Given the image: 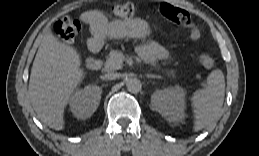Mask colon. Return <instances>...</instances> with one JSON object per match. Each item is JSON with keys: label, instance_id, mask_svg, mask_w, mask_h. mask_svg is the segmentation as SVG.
I'll use <instances>...</instances> for the list:
<instances>
[{"label": "colon", "instance_id": "obj_1", "mask_svg": "<svg viewBox=\"0 0 259 156\" xmlns=\"http://www.w3.org/2000/svg\"><path fill=\"white\" fill-rule=\"evenodd\" d=\"M112 13L118 17L129 19L135 16L139 12V7L133 3H119L112 7ZM161 15L172 23L185 27L189 30V36L191 40H198L200 37V31L194 23L191 15L180 8L174 7L169 4H162L159 6ZM55 31L59 39L65 43L74 41L78 35L81 25L79 21L71 17H63L55 23ZM199 61L201 65L206 69H212L215 66L214 59L207 53H201L199 55Z\"/></svg>", "mask_w": 259, "mask_h": 156}]
</instances>
